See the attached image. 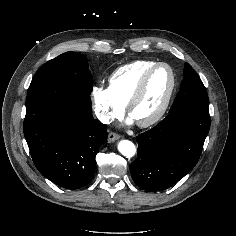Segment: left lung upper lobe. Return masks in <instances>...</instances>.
Segmentation results:
<instances>
[{"instance_id": "1", "label": "left lung upper lobe", "mask_w": 236, "mask_h": 236, "mask_svg": "<svg viewBox=\"0 0 236 236\" xmlns=\"http://www.w3.org/2000/svg\"><path fill=\"white\" fill-rule=\"evenodd\" d=\"M182 109L209 111L206 89L194 69L185 63L184 78L169 113Z\"/></svg>"}]
</instances>
